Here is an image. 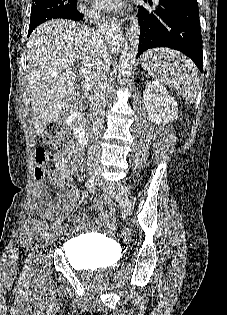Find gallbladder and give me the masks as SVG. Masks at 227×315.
Instances as JSON below:
<instances>
[{"label": "gallbladder", "mask_w": 227, "mask_h": 315, "mask_svg": "<svg viewBox=\"0 0 227 315\" xmlns=\"http://www.w3.org/2000/svg\"><path fill=\"white\" fill-rule=\"evenodd\" d=\"M63 119H64V115H63V113H62V114H60V115L57 117V119L55 120V122L59 123V122H61Z\"/></svg>", "instance_id": "obj_1"}]
</instances>
